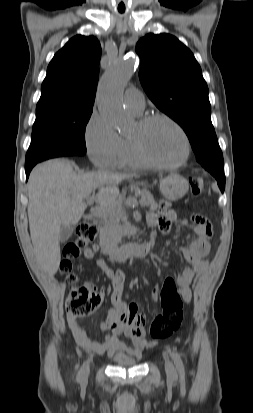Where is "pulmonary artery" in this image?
Listing matches in <instances>:
<instances>
[{
	"mask_svg": "<svg viewBox=\"0 0 253 413\" xmlns=\"http://www.w3.org/2000/svg\"><path fill=\"white\" fill-rule=\"evenodd\" d=\"M124 102L127 109L133 114L140 115L145 108L143 94L135 88H129L124 94Z\"/></svg>",
	"mask_w": 253,
	"mask_h": 413,
	"instance_id": "1",
	"label": "pulmonary artery"
}]
</instances>
